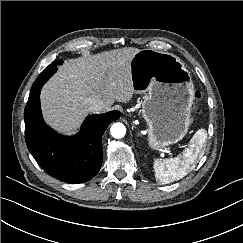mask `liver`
<instances>
[{
    "label": "liver",
    "mask_w": 243,
    "mask_h": 243,
    "mask_svg": "<svg viewBox=\"0 0 243 243\" xmlns=\"http://www.w3.org/2000/svg\"><path fill=\"white\" fill-rule=\"evenodd\" d=\"M138 51L124 47L65 61L41 91L46 123L70 134L90 111L86 98L102 100L105 111L116 101L128 102L134 93L131 60Z\"/></svg>",
    "instance_id": "1"
}]
</instances>
